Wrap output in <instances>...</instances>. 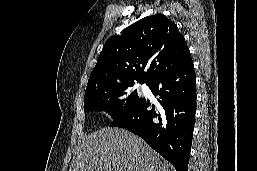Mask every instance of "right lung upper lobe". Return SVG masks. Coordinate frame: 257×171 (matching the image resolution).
Masks as SVG:
<instances>
[{"label": "right lung upper lobe", "mask_w": 257, "mask_h": 171, "mask_svg": "<svg viewBox=\"0 0 257 171\" xmlns=\"http://www.w3.org/2000/svg\"><path fill=\"white\" fill-rule=\"evenodd\" d=\"M191 59L176 24L163 14L148 16L106 41L85 92L126 82L148 83Z\"/></svg>", "instance_id": "right-lung-upper-lobe-1"}]
</instances>
